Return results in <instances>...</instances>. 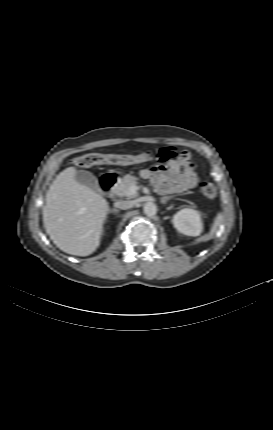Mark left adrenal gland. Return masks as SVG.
<instances>
[{"mask_svg":"<svg viewBox=\"0 0 273 430\" xmlns=\"http://www.w3.org/2000/svg\"><path fill=\"white\" fill-rule=\"evenodd\" d=\"M171 198H172V196H166V197H163V198L161 199V203L166 204V202H167L169 199H171Z\"/></svg>","mask_w":273,"mask_h":430,"instance_id":"1","label":"left adrenal gland"}]
</instances>
